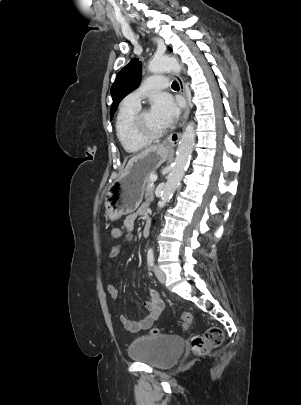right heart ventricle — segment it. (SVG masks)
<instances>
[{"label":"right heart ventricle","mask_w":301,"mask_h":405,"mask_svg":"<svg viewBox=\"0 0 301 405\" xmlns=\"http://www.w3.org/2000/svg\"><path fill=\"white\" fill-rule=\"evenodd\" d=\"M138 109L139 106L123 103L116 116V134L122 147L128 153H137L148 144V142L135 137L131 130V120Z\"/></svg>","instance_id":"right-heart-ventricle-1"}]
</instances>
